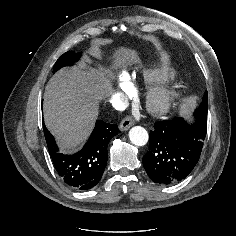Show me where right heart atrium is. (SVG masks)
<instances>
[{
  "label": "right heart atrium",
  "instance_id": "1",
  "mask_svg": "<svg viewBox=\"0 0 236 236\" xmlns=\"http://www.w3.org/2000/svg\"><path fill=\"white\" fill-rule=\"evenodd\" d=\"M113 85L118 99L124 98L132 92V85L126 72H122Z\"/></svg>",
  "mask_w": 236,
  "mask_h": 236
}]
</instances>
